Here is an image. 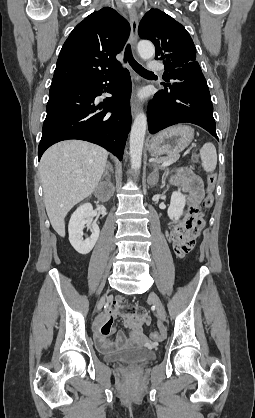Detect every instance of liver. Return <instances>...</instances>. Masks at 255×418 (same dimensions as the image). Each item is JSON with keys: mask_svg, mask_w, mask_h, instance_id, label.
<instances>
[{"mask_svg": "<svg viewBox=\"0 0 255 418\" xmlns=\"http://www.w3.org/2000/svg\"><path fill=\"white\" fill-rule=\"evenodd\" d=\"M107 157L104 148L80 140L57 143L43 154L39 173L44 203L50 223L61 237L65 236V216L93 193Z\"/></svg>", "mask_w": 255, "mask_h": 418, "instance_id": "6515ba94", "label": "liver"}]
</instances>
